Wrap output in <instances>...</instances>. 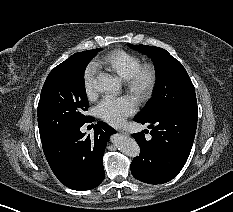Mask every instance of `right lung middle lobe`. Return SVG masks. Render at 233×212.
I'll return each instance as SVG.
<instances>
[{
	"instance_id": "right-lung-middle-lobe-1",
	"label": "right lung middle lobe",
	"mask_w": 233,
	"mask_h": 212,
	"mask_svg": "<svg viewBox=\"0 0 233 212\" xmlns=\"http://www.w3.org/2000/svg\"><path fill=\"white\" fill-rule=\"evenodd\" d=\"M101 49L75 53L48 75L38 104V126L42 143L90 119L84 85L88 63Z\"/></svg>"
}]
</instances>
